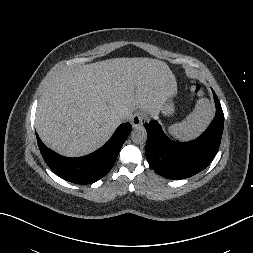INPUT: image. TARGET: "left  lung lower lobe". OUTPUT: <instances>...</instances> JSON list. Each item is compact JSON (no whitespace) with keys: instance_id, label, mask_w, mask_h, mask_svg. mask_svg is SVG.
<instances>
[{"instance_id":"1","label":"left lung lower lobe","mask_w":253,"mask_h":253,"mask_svg":"<svg viewBox=\"0 0 253 253\" xmlns=\"http://www.w3.org/2000/svg\"><path fill=\"white\" fill-rule=\"evenodd\" d=\"M216 115L209 128L196 140L175 142L157 121L145 124L148 138L146 158L156 173L167 179H184L205 169L215 157L223 133L224 114L213 91Z\"/></svg>"}]
</instances>
